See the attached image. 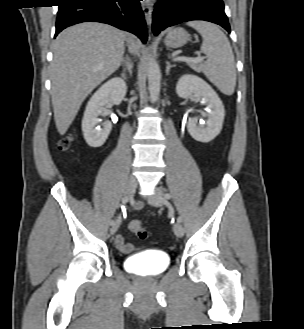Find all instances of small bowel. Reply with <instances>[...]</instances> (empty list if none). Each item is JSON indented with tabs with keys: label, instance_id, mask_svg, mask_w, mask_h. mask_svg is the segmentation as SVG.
Instances as JSON below:
<instances>
[{
	"label": "small bowel",
	"instance_id": "c3829d8e",
	"mask_svg": "<svg viewBox=\"0 0 304 329\" xmlns=\"http://www.w3.org/2000/svg\"><path fill=\"white\" fill-rule=\"evenodd\" d=\"M140 207H141V204L140 203L137 204V208H140ZM115 245H116L117 249L124 254L132 253L137 249L134 245L127 243L125 240V237L121 234H119L115 237Z\"/></svg>",
	"mask_w": 304,
	"mask_h": 329
}]
</instances>
